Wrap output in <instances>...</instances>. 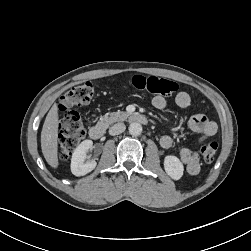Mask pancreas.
Instances as JSON below:
<instances>
[{
    "label": "pancreas",
    "mask_w": 251,
    "mask_h": 251,
    "mask_svg": "<svg viewBox=\"0 0 251 251\" xmlns=\"http://www.w3.org/2000/svg\"><path fill=\"white\" fill-rule=\"evenodd\" d=\"M128 116L129 114L127 112H121V111L111 112L100 118L98 124L107 128L109 127V125L115 122L125 120Z\"/></svg>",
    "instance_id": "obj_1"
}]
</instances>
